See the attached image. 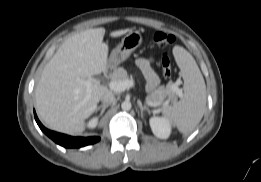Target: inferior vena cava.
Here are the masks:
<instances>
[{"label":"inferior vena cava","mask_w":261,"mask_h":182,"mask_svg":"<svg viewBox=\"0 0 261 182\" xmlns=\"http://www.w3.org/2000/svg\"><path fill=\"white\" fill-rule=\"evenodd\" d=\"M101 101L103 104L110 105L111 103L115 102V97L112 93H107L101 97Z\"/></svg>","instance_id":"1"}]
</instances>
